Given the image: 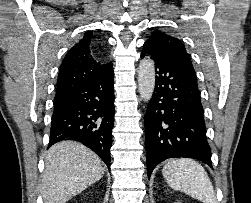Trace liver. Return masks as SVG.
Segmentation results:
<instances>
[{"mask_svg": "<svg viewBox=\"0 0 251 203\" xmlns=\"http://www.w3.org/2000/svg\"><path fill=\"white\" fill-rule=\"evenodd\" d=\"M42 180L44 203H66L101 179V159L78 142L63 141L47 152Z\"/></svg>", "mask_w": 251, "mask_h": 203, "instance_id": "obj_1", "label": "liver"}]
</instances>
